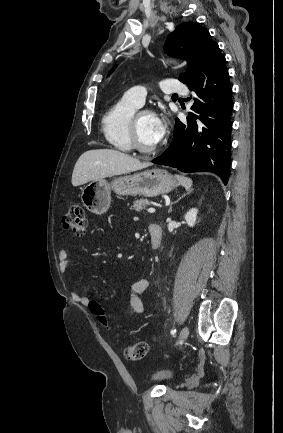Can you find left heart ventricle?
Here are the masks:
<instances>
[{
  "label": "left heart ventricle",
  "mask_w": 283,
  "mask_h": 433,
  "mask_svg": "<svg viewBox=\"0 0 283 433\" xmlns=\"http://www.w3.org/2000/svg\"><path fill=\"white\" fill-rule=\"evenodd\" d=\"M152 120H153L152 114L141 115L138 122V134L144 149L148 151H157L159 147L153 146L150 141Z\"/></svg>",
  "instance_id": "left-heart-ventricle-1"
}]
</instances>
